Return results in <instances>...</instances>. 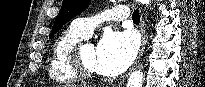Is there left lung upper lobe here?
I'll return each mask as SVG.
<instances>
[{
  "mask_svg": "<svg viewBox=\"0 0 205 87\" xmlns=\"http://www.w3.org/2000/svg\"><path fill=\"white\" fill-rule=\"evenodd\" d=\"M91 0H64L61 9L55 19L53 29L49 35L51 38L70 19L80 14L90 4Z\"/></svg>",
  "mask_w": 205,
  "mask_h": 87,
  "instance_id": "left-lung-upper-lobe-1",
  "label": "left lung upper lobe"
}]
</instances>
